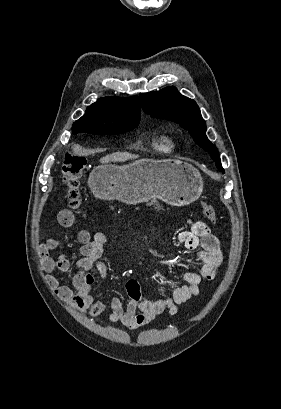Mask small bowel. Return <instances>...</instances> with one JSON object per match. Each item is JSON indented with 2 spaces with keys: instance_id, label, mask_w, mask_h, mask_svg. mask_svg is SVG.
Returning a JSON list of instances; mask_svg holds the SVG:
<instances>
[{
  "instance_id": "c3829d8e",
  "label": "small bowel",
  "mask_w": 281,
  "mask_h": 409,
  "mask_svg": "<svg viewBox=\"0 0 281 409\" xmlns=\"http://www.w3.org/2000/svg\"><path fill=\"white\" fill-rule=\"evenodd\" d=\"M58 221L65 228L76 225V218L68 209L59 212ZM188 223L189 230L180 232L177 241L187 249L197 251V257L202 264L200 269L186 272L183 275L184 285L176 287L172 296L156 301L143 299L139 283L134 279L128 280L126 289L129 300L124 304L119 297H113L108 304L110 313L106 317L107 322H119L133 333L139 327L150 324L159 314H177L180 305L198 296L202 282L215 278L223 261L219 240L204 222L189 220ZM77 240L80 244L81 257L77 261V272L72 279L71 286L60 285L53 274L54 272H67L71 267L65 255L57 259L50 256L52 250L61 246L59 240L49 239L46 243L41 244L38 254L42 268L49 273L46 279L52 290L68 305L96 318L101 316L107 305L93 296L92 291L96 278L89 273V270L96 266L101 277H107L108 269L101 261L106 236L103 233H97L92 238L87 230L80 229L77 233Z\"/></svg>"
}]
</instances>
